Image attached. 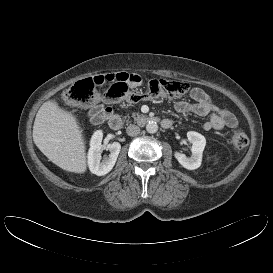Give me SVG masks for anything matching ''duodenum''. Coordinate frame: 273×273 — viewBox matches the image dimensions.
<instances>
[{
	"label": "duodenum",
	"instance_id": "duodenum-1",
	"mask_svg": "<svg viewBox=\"0 0 273 273\" xmlns=\"http://www.w3.org/2000/svg\"><path fill=\"white\" fill-rule=\"evenodd\" d=\"M154 119H152L151 117L145 115V116H140L137 118V123L140 126H147L149 125ZM107 122L109 127L112 130H119L122 127V120L121 118L117 115V114H110L107 116ZM161 125L164 128H169L172 125L171 120L169 119H163L161 121Z\"/></svg>",
	"mask_w": 273,
	"mask_h": 273
}]
</instances>
